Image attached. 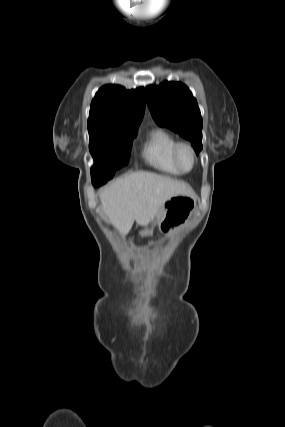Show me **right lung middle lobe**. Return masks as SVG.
I'll return each mask as SVG.
<instances>
[{
  "mask_svg": "<svg viewBox=\"0 0 285 427\" xmlns=\"http://www.w3.org/2000/svg\"><path fill=\"white\" fill-rule=\"evenodd\" d=\"M137 129V126L88 127L89 149L94 159L92 183H106L116 170L128 164Z\"/></svg>",
  "mask_w": 285,
  "mask_h": 427,
  "instance_id": "1",
  "label": "right lung middle lobe"
}]
</instances>
